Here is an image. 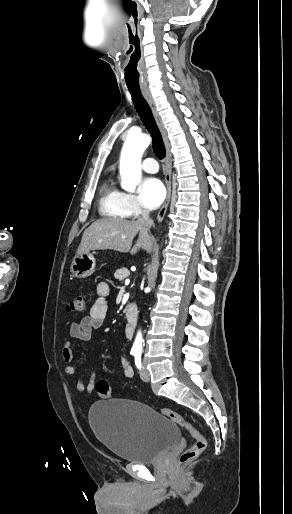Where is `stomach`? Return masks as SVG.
<instances>
[{
    "mask_svg": "<svg viewBox=\"0 0 292 514\" xmlns=\"http://www.w3.org/2000/svg\"><path fill=\"white\" fill-rule=\"evenodd\" d=\"M96 260L92 254L86 252V254H79L75 256L71 264L72 276L75 278H88L95 270Z\"/></svg>",
    "mask_w": 292,
    "mask_h": 514,
    "instance_id": "0dacf381",
    "label": "stomach"
}]
</instances>
